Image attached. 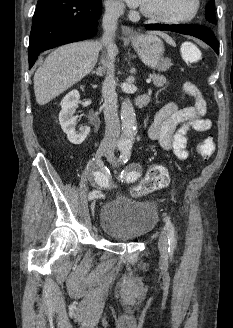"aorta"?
Listing matches in <instances>:
<instances>
[{
	"mask_svg": "<svg viewBox=\"0 0 233 328\" xmlns=\"http://www.w3.org/2000/svg\"><path fill=\"white\" fill-rule=\"evenodd\" d=\"M120 115L122 134L119 146L121 149L130 150L137 133V122L134 107L129 99L122 102Z\"/></svg>",
	"mask_w": 233,
	"mask_h": 328,
	"instance_id": "obj_1",
	"label": "aorta"
}]
</instances>
